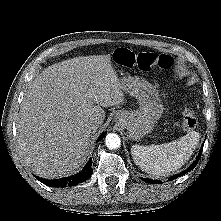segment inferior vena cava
Instances as JSON below:
<instances>
[{
    "mask_svg": "<svg viewBox=\"0 0 221 221\" xmlns=\"http://www.w3.org/2000/svg\"><path fill=\"white\" fill-rule=\"evenodd\" d=\"M100 124H101V121L98 119H93V120L89 121V123L87 125L89 132H91V133L96 132V130Z\"/></svg>",
    "mask_w": 221,
    "mask_h": 221,
    "instance_id": "1",
    "label": "inferior vena cava"
}]
</instances>
